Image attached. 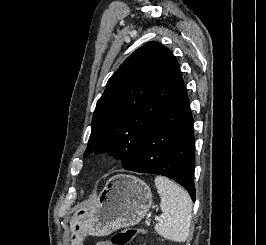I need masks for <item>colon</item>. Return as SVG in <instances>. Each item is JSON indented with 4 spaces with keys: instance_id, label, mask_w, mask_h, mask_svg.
<instances>
[{
    "instance_id": "1",
    "label": "colon",
    "mask_w": 266,
    "mask_h": 245,
    "mask_svg": "<svg viewBox=\"0 0 266 245\" xmlns=\"http://www.w3.org/2000/svg\"><path fill=\"white\" fill-rule=\"evenodd\" d=\"M142 233L140 228L128 227L117 233L111 238V245H128L131 240ZM98 245H103L98 243Z\"/></svg>"
}]
</instances>
